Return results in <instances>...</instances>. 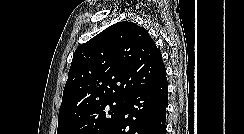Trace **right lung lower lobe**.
Segmentation results:
<instances>
[{
	"label": "right lung lower lobe",
	"instance_id": "right-lung-lower-lobe-1",
	"mask_svg": "<svg viewBox=\"0 0 244 134\" xmlns=\"http://www.w3.org/2000/svg\"><path fill=\"white\" fill-rule=\"evenodd\" d=\"M166 76L129 96L119 117L104 134H165L168 105Z\"/></svg>",
	"mask_w": 244,
	"mask_h": 134
}]
</instances>
